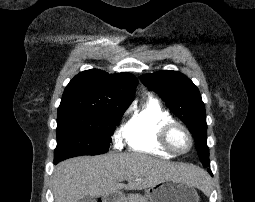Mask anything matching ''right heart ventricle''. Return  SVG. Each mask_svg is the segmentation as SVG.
Listing matches in <instances>:
<instances>
[{"instance_id": "1", "label": "right heart ventricle", "mask_w": 255, "mask_h": 202, "mask_svg": "<svg viewBox=\"0 0 255 202\" xmlns=\"http://www.w3.org/2000/svg\"><path fill=\"white\" fill-rule=\"evenodd\" d=\"M172 121L169 111L158 100L148 97L132 111L121 128L120 136L132 151L171 158L173 154L166 151L159 142V133L165 124Z\"/></svg>"}]
</instances>
